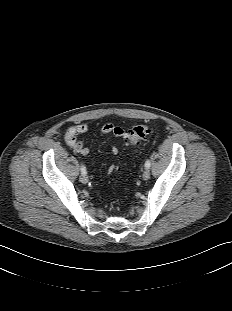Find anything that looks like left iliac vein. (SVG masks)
Segmentation results:
<instances>
[{"label":"left iliac vein","mask_w":232,"mask_h":311,"mask_svg":"<svg viewBox=\"0 0 232 311\" xmlns=\"http://www.w3.org/2000/svg\"><path fill=\"white\" fill-rule=\"evenodd\" d=\"M143 179L144 180H148L150 178V171L148 169H146L144 172H143V175H142Z\"/></svg>","instance_id":"4c4485c4"}]
</instances>
